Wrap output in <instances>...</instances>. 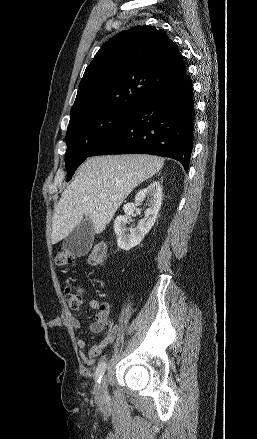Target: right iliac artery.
<instances>
[{
  "label": "right iliac artery",
  "instance_id": "82829eb1",
  "mask_svg": "<svg viewBox=\"0 0 257 439\" xmlns=\"http://www.w3.org/2000/svg\"><path fill=\"white\" fill-rule=\"evenodd\" d=\"M107 364L106 362H100L97 366V369L95 371V376H96V382L100 383L103 374L105 373Z\"/></svg>",
  "mask_w": 257,
  "mask_h": 439
}]
</instances>
